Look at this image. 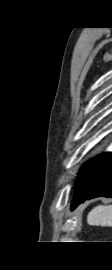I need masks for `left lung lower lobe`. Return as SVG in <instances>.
<instances>
[{"instance_id":"obj_1","label":"left lung lower lobe","mask_w":112,"mask_h":270,"mask_svg":"<svg viewBox=\"0 0 112 270\" xmlns=\"http://www.w3.org/2000/svg\"><path fill=\"white\" fill-rule=\"evenodd\" d=\"M111 159L112 153H107L78 176L71 210H74L84 200L99 196L112 197Z\"/></svg>"}]
</instances>
